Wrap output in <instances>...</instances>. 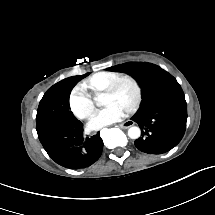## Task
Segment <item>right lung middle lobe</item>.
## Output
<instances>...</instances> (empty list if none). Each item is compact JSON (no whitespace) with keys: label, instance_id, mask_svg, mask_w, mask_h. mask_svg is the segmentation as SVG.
Segmentation results:
<instances>
[{"label":"right lung middle lobe","instance_id":"right-lung-middle-lobe-1","mask_svg":"<svg viewBox=\"0 0 215 215\" xmlns=\"http://www.w3.org/2000/svg\"><path fill=\"white\" fill-rule=\"evenodd\" d=\"M89 73L64 79L47 90L41 99L36 116V128L54 125L81 123L70 111L69 96L73 87Z\"/></svg>","mask_w":215,"mask_h":215}]
</instances>
